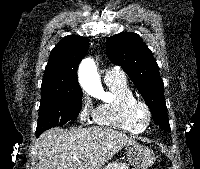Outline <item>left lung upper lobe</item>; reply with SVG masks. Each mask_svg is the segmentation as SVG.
I'll use <instances>...</instances> for the list:
<instances>
[{"mask_svg":"<svg viewBox=\"0 0 200 169\" xmlns=\"http://www.w3.org/2000/svg\"><path fill=\"white\" fill-rule=\"evenodd\" d=\"M106 53L111 62L128 74L151 109L156 125L170 131L159 67L140 36L132 32L111 36L107 39Z\"/></svg>","mask_w":200,"mask_h":169,"instance_id":"1","label":"left lung upper lobe"}]
</instances>
